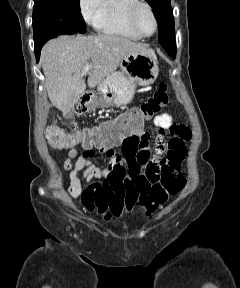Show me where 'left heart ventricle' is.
Instances as JSON below:
<instances>
[{"instance_id":"obj_1","label":"left heart ventricle","mask_w":240,"mask_h":288,"mask_svg":"<svg viewBox=\"0 0 240 288\" xmlns=\"http://www.w3.org/2000/svg\"><path fill=\"white\" fill-rule=\"evenodd\" d=\"M136 25L138 30L144 35H150L155 28L154 20L147 8L142 7L136 15Z\"/></svg>"}]
</instances>
